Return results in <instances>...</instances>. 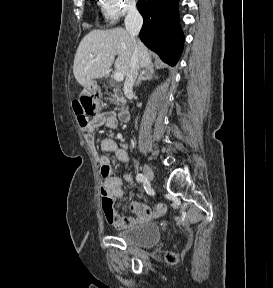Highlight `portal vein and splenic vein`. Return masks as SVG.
I'll return each instance as SVG.
<instances>
[{
    "label": "portal vein and splenic vein",
    "instance_id": "18ae733b",
    "mask_svg": "<svg viewBox=\"0 0 273 288\" xmlns=\"http://www.w3.org/2000/svg\"><path fill=\"white\" fill-rule=\"evenodd\" d=\"M114 79H115V81H117V82L123 81V79H124L123 73H121V72H116V73L114 74Z\"/></svg>",
    "mask_w": 273,
    "mask_h": 288
}]
</instances>
